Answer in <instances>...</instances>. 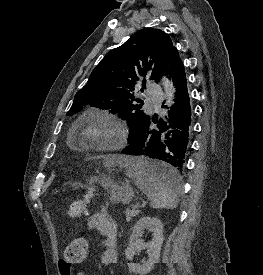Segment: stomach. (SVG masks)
I'll list each match as a JSON object with an SVG mask.
<instances>
[{
	"mask_svg": "<svg viewBox=\"0 0 263 275\" xmlns=\"http://www.w3.org/2000/svg\"><path fill=\"white\" fill-rule=\"evenodd\" d=\"M134 192L130 186L113 187L111 193V201L118 203H128L133 198Z\"/></svg>",
	"mask_w": 263,
	"mask_h": 275,
	"instance_id": "0dacf381",
	"label": "stomach"
}]
</instances>
